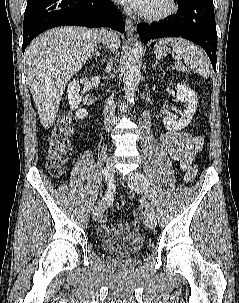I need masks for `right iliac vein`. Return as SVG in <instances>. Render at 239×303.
Segmentation results:
<instances>
[{
  "mask_svg": "<svg viewBox=\"0 0 239 303\" xmlns=\"http://www.w3.org/2000/svg\"><path fill=\"white\" fill-rule=\"evenodd\" d=\"M107 171H114L113 163L110 160L107 162L106 168L104 169V176H105L106 181H107L108 177L114 178V176H107L106 175ZM108 184H109V182H108ZM105 207H106L105 202L99 203L97 206H95L93 213H92V217H93L94 221H98L102 217V215L105 211Z\"/></svg>",
  "mask_w": 239,
  "mask_h": 303,
  "instance_id": "right-iliac-vein-1",
  "label": "right iliac vein"
}]
</instances>
